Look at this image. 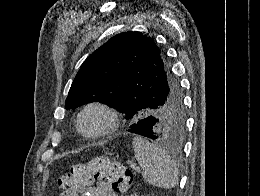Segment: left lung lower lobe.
<instances>
[{
  "label": "left lung lower lobe",
  "mask_w": 260,
  "mask_h": 196,
  "mask_svg": "<svg viewBox=\"0 0 260 196\" xmlns=\"http://www.w3.org/2000/svg\"><path fill=\"white\" fill-rule=\"evenodd\" d=\"M130 128L131 129L128 131L131 133L139 134L151 139L156 138L155 121L151 118L139 120L138 122L133 123Z\"/></svg>",
  "instance_id": "obj_1"
}]
</instances>
